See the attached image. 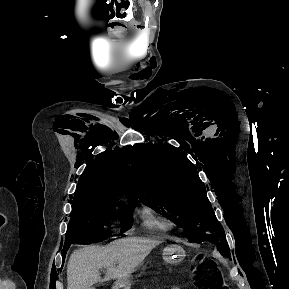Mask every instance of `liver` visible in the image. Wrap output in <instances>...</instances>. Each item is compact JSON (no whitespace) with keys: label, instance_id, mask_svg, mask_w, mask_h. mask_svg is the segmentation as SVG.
I'll return each instance as SVG.
<instances>
[{"label":"liver","instance_id":"obj_1","mask_svg":"<svg viewBox=\"0 0 289 289\" xmlns=\"http://www.w3.org/2000/svg\"><path fill=\"white\" fill-rule=\"evenodd\" d=\"M161 241L122 238L105 247L85 246L75 250L67 264V289H94L93 285L130 275ZM107 269L102 280L99 269Z\"/></svg>","mask_w":289,"mask_h":289}]
</instances>
